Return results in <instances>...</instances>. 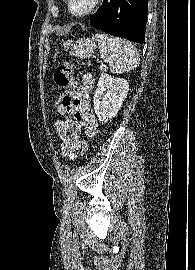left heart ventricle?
<instances>
[{"label": "left heart ventricle", "instance_id": "b2bd125f", "mask_svg": "<svg viewBox=\"0 0 195 270\" xmlns=\"http://www.w3.org/2000/svg\"><path fill=\"white\" fill-rule=\"evenodd\" d=\"M94 0H71V9L75 13H83L87 11Z\"/></svg>", "mask_w": 195, "mask_h": 270}]
</instances>
